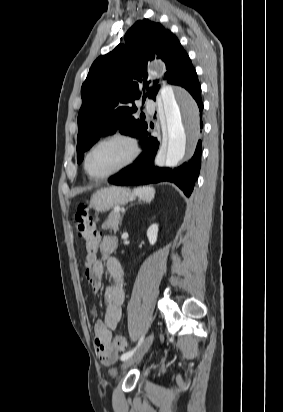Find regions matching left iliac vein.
<instances>
[{"instance_id":"4c4485c4","label":"left iliac vein","mask_w":283,"mask_h":412,"mask_svg":"<svg viewBox=\"0 0 283 412\" xmlns=\"http://www.w3.org/2000/svg\"><path fill=\"white\" fill-rule=\"evenodd\" d=\"M153 340H154V335L150 334L145 339L141 347L136 351V353L124 362L123 367L127 368L133 365L134 363H136L138 360H140L149 350L150 346L152 345Z\"/></svg>"}]
</instances>
